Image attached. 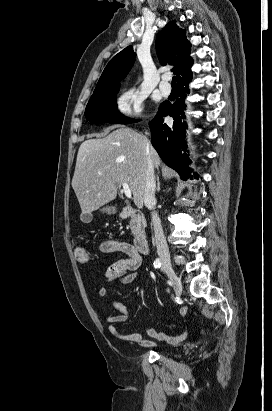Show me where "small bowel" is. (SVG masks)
Returning <instances> with one entry per match:
<instances>
[{
	"label": "small bowel",
	"mask_w": 272,
	"mask_h": 411,
	"mask_svg": "<svg viewBox=\"0 0 272 411\" xmlns=\"http://www.w3.org/2000/svg\"><path fill=\"white\" fill-rule=\"evenodd\" d=\"M100 251L102 253L118 254V259L112 263L105 272L104 285L98 289V295L100 297L107 296L108 290L106 285L108 284L117 282L129 284L137 280L142 257L134 248L133 244L125 241L107 240L101 243ZM110 305L119 313L118 315H113L109 311L104 313V320L108 324V331L111 335L121 341L136 343L142 347L153 348L156 346L154 341L145 339L140 333L125 334L120 332L115 324L129 321L131 314L127 307L117 300H110ZM202 332L204 333V330ZM145 334L151 339L167 341L171 344L181 343L185 341L188 336L187 332H184L176 337H170L164 332L149 327L145 328Z\"/></svg>",
	"instance_id": "small-bowel-1"
}]
</instances>
